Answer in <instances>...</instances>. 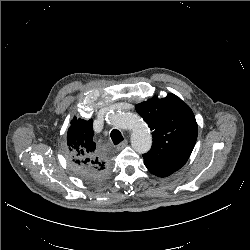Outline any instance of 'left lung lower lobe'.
<instances>
[{
  "label": "left lung lower lobe",
  "instance_id": "obj_1",
  "mask_svg": "<svg viewBox=\"0 0 250 250\" xmlns=\"http://www.w3.org/2000/svg\"><path fill=\"white\" fill-rule=\"evenodd\" d=\"M147 167V169L154 175L159 176V177H166L171 175L172 173L170 172H166V171H162L153 167H150L148 165H145Z\"/></svg>",
  "mask_w": 250,
  "mask_h": 250
}]
</instances>
